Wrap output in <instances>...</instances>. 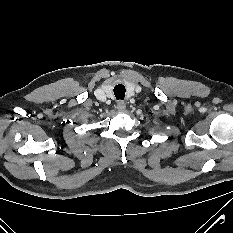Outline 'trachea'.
I'll use <instances>...</instances> for the list:
<instances>
[{"mask_svg":"<svg viewBox=\"0 0 233 233\" xmlns=\"http://www.w3.org/2000/svg\"><path fill=\"white\" fill-rule=\"evenodd\" d=\"M125 86L122 84H118L114 87V95L117 100H123L125 96Z\"/></svg>","mask_w":233,"mask_h":233,"instance_id":"3493384b","label":"trachea"}]
</instances>
